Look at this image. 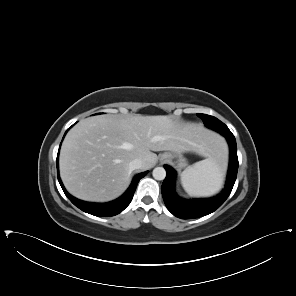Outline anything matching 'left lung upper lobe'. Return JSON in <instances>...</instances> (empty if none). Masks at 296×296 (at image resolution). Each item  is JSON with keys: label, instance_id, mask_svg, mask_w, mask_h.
<instances>
[{"label": "left lung upper lobe", "instance_id": "left-lung-upper-lobe-1", "mask_svg": "<svg viewBox=\"0 0 296 296\" xmlns=\"http://www.w3.org/2000/svg\"><path fill=\"white\" fill-rule=\"evenodd\" d=\"M204 122L205 126L222 133V131L231 132L229 128L219 119L206 114H197Z\"/></svg>", "mask_w": 296, "mask_h": 296}]
</instances>
